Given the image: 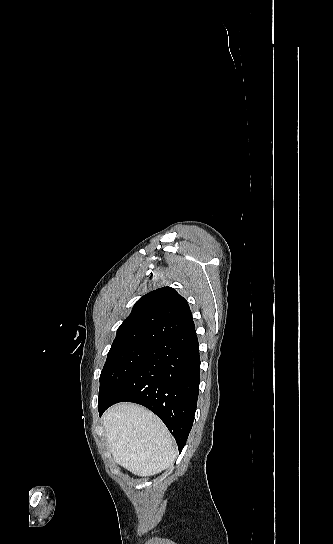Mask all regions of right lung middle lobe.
<instances>
[{
    "mask_svg": "<svg viewBox=\"0 0 333 544\" xmlns=\"http://www.w3.org/2000/svg\"><path fill=\"white\" fill-rule=\"evenodd\" d=\"M152 346L134 345L111 349L100 375L98 407L103 406L129 380L148 357Z\"/></svg>",
    "mask_w": 333,
    "mask_h": 544,
    "instance_id": "obj_1",
    "label": "right lung middle lobe"
}]
</instances>
